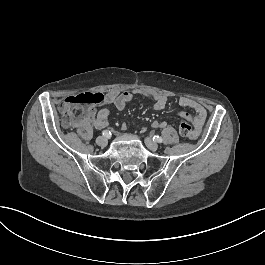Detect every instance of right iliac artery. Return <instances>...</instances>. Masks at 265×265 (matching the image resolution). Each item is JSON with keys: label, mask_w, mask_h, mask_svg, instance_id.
<instances>
[{"label": "right iliac artery", "mask_w": 265, "mask_h": 265, "mask_svg": "<svg viewBox=\"0 0 265 265\" xmlns=\"http://www.w3.org/2000/svg\"><path fill=\"white\" fill-rule=\"evenodd\" d=\"M102 135L105 136V137H108L110 135V132H108L107 130H104L102 132Z\"/></svg>", "instance_id": "obj_1"}]
</instances>
